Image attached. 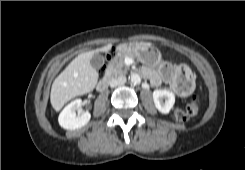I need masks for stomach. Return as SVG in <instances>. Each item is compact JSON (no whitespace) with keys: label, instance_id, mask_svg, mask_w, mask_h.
Wrapping results in <instances>:
<instances>
[{"label":"stomach","instance_id":"obj_1","mask_svg":"<svg viewBox=\"0 0 245 170\" xmlns=\"http://www.w3.org/2000/svg\"><path fill=\"white\" fill-rule=\"evenodd\" d=\"M119 50L129 52L140 62L150 67H159L162 64L161 53L151 46L131 43L129 45L121 46ZM177 72L183 80L189 83V90L185 92L189 94L195 86L191 72L187 68H178Z\"/></svg>","mask_w":245,"mask_h":170}]
</instances>
